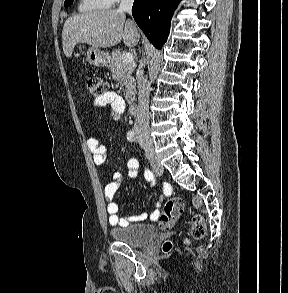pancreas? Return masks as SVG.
<instances>
[{
	"instance_id": "obj_1",
	"label": "pancreas",
	"mask_w": 288,
	"mask_h": 293,
	"mask_svg": "<svg viewBox=\"0 0 288 293\" xmlns=\"http://www.w3.org/2000/svg\"><path fill=\"white\" fill-rule=\"evenodd\" d=\"M122 53L119 50L112 52V58L110 59V69L112 76L123 87L125 99L131 101L136 93L135 79L132 73L135 68L133 62L127 63L122 59Z\"/></svg>"
}]
</instances>
